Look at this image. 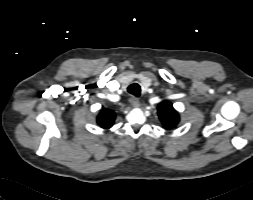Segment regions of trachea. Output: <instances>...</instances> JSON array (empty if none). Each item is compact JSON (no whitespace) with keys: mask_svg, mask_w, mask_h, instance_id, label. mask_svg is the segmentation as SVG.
<instances>
[{"mask_svg":"<svg viewBox=\"0 0 253 200\" xmlns=\"http://www.w3.org/2000/svg\"><path fill=\"white\" fill-rule=\"evenodd\" d=\"M128 92L136 97L140 96V92H141V87L139 84L137 83H133L128 87Z\"/></svg>","mask_w":253,"mask_h":200,"instance_id":"trachea-1","label":"trachea"}]
</instances>
